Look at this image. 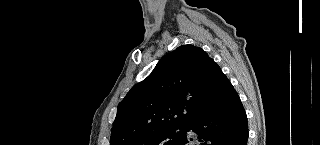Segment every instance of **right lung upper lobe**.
<instances>
[{"label":"right lung upper lobe","instance_id":"obj_1","mask_svg":"<svg viewBox=\"0 0 320 145\" xmlns=\"http://www.w3.org/2000/svg\"><path fill=\"white\" fill-rule=\"evenodd\" d=\"M223 76L202 48L178 47L118 105L110 145H131L154 131L185 127L210 110Z\"/></svg>","mask_w":320,"mask_h":145}]
</instances>
